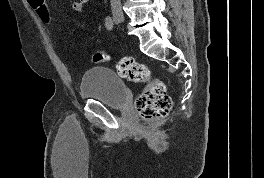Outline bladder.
<instances>
[{
    "instance_id": "bladder-1",
    "label": "bladder",
    "mask_w": 264,
    "mask_h": 178,
    "mask_svg": "<svg viewBox=\"0 0 264 178\" xmlns=\"http://www.w3.org/2000/svg\"><path fill=\"white\" fill-rule=\"evenodd\" d=\"M80 95L94 99L109 108H122L129 100L128 90L122 79L108 67H92L82 76Z\"/></svg>"
}]
</instances>
